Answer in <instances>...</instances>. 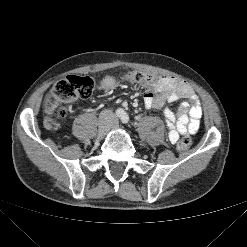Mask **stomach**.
<instances>
[{"instance_id": "0dacf381", "label": "stomach", "mask_w": 247, "mask_h": 247, "mask_svg": "<svg viewBox=\"0 0 247 247\" xmlns=\"http://www.w3.org/2000/svg\"><path fill=\"white\" fill-rule=\"evenodd\" d=\"M103 83L106 86H112L114 84V79L112 77H106Z\"/></svg>"}]
</instances>
